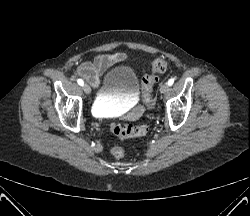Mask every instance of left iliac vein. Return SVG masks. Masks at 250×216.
<instances>
[{"label": "left iliac vein", "mask_w": 250, "mask_h": 216, "mask_svg": "<svg viewBox=\"0 0 250 216\" xmlns=\"http://www.w3.org/2000/svg\"><path fill=\"white\" fill-rule=\"evenodd\" d=\"M169 89V85L168 84H162L160 87V92L161 93H166Z\"/></svg>", "instance_id": "1"}]
</instances>
